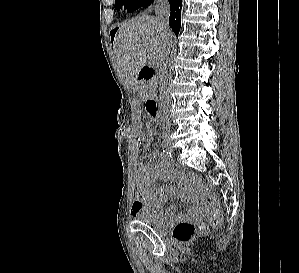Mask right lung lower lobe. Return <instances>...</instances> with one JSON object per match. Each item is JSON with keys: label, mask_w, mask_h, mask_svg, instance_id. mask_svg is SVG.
<instances>
[{"label": "right lung lower lobe", "mask_w": 299, "mask_h": 273, "mask_svg": "<svg viewBox=\"0 0 299 273\" xmlns=\"http://www.w3.org/2000/svg\"><path fill=\"white\" fill-rule=\"evenodd\" d=\"M170 4V17H169V25L178 37V33L181 25V8H182V0H168ZM153 2V0H137L128 10L127 12H133L141 6H148Z\"/></svg>", "instance_id": "98d812e1"}]
</instances>
